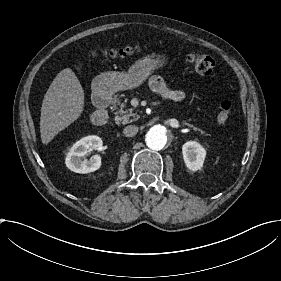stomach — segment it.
Here are the masks:
<instances>
[{
    "mask_svg": "<svg viewBox=\"0 0 281 281\" xmlns=\"http://www.w3.org/2000/svg\"><path fill=\"white\" fill-rule=\"evenodd\" d=\"M165 53L146 54L136 60L125 72H105L96 78L100 92L114 94L117 91L133 90L142 86L155 70L169 63Z\"/></svg>",
    "mask_w": 281,
    "mask_h": 281,
    "instance_id": "0dacf381",
    "label": "stomach"
}]
</instances>
